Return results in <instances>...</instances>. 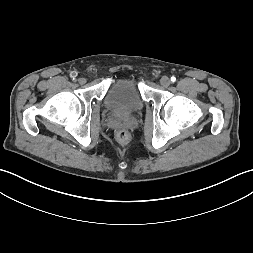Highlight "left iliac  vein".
<instances>
[{
  "label": "left iliac vein",
  "mask_w": 253,
  "mask_h": 253,
  "mask_svg": "<svg viewBox=\"0 0 253 253\" xmlns=\"http://www.w3.org/2000/svg\"><path fill=\"white\" fill-rule=\"evenodd\" d=\"M160 84L163 86V87H168L170 84H171V81L170 79L167 77V76H163L161 79H160Z\"/></svg>",
  "instance_id": "left-iliac-vein-1"
}]
</instances>
